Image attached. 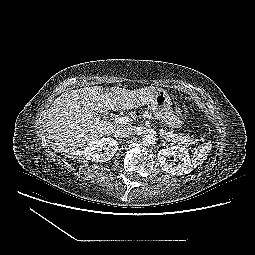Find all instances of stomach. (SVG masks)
<instances>
[{"label":"stomach","mask_w":255,"mask_h":255,"mask_svg":"<svg viewBox=\"0 0 255 255\" xmlns=\"http://www.w3.org/2000/svg\"><path fill=\"white\" fill-rule=\"evenodd\" d=\"M148 107L157 119L164 122L171 128H179L183 121L177 111L173 108L171 97L166 90L157 88L153 93V98L148 102Z\"/></svg>","instance_id":"stomach-1"}]
</instances>
